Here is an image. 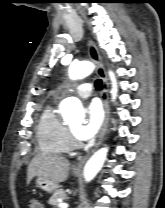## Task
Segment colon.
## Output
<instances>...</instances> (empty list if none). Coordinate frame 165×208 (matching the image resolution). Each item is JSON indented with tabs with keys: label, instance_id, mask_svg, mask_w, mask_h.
I'll return each mask as SVG.
<instances>
[{
	"label": "colon",
	"instance_id": "5ec220e1",
	"mask_svg": "<svg viewBox=\"0 0 165 208\" xmlns=\"http://www.w3.org/2000/svg\"><path fill=\"white\" fill-rule=\"evenodd\" d=\"M29 208H44L43 204L36 198H31L28 202Z\"/></svg>",
	"mask_w": 165,
	"mask_h": 208
}]
</instances>
